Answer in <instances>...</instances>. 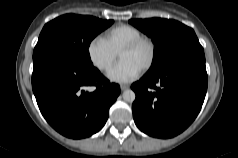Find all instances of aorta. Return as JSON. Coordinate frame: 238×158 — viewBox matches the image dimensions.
<instances>
[{"label":"aorta","instance_id":"aorta-1","mask_svg":"<svg viewBox=\"0 0 238 158\" xmlns=\"http://www.w3.org/2000/svg\"><path fill=\"white\" fill-rule=\"evenodd\" d=\"M135 93L133 90L131 89H128V90H125L123 92V99L126 101V102H133L135 100Z\"/></svg>","mask_w":238,"mask_h":158}]
</instances>
